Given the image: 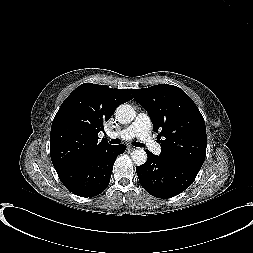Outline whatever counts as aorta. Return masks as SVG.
Listing matches in <instances>:
<instances>
[{"label":"aorta","mask_w":253,"mask_h":253,"mask_svg":"<svg viewBox=\"0 0 253 253\" xmlns=\"http://www.w3.org/2000/svg\"><path fill=\"white\" fill-rule=\"evenodd\" d=\"M116 119L122 124L132 122L136 116L134 108L129 104H122L116 109ZM132 161L136 165H142L147 160V154L143 149H136L131 153Z\"/></svg>","instance_id":"obj_1"}]
</instances>
